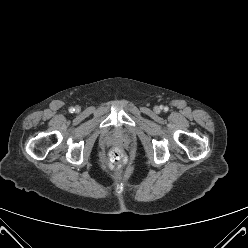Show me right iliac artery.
<instances>
[{"label": "right iliac artery", "instance_id": "right-iliac-artery-1", "mask_svg": "<svg viewBox=\"0 0 248 248\" xmlns=\"http://www.w3.org/2000/svg\"><path fill=\"white\" fill-rule=\"evenodd\" d=\"M74 111H75V109L72 107L69 109V112H71V113H73Z\"/></svg>", "mask_w": 248, "mask_h": 248}]
</instances>
